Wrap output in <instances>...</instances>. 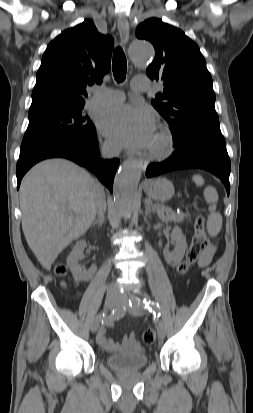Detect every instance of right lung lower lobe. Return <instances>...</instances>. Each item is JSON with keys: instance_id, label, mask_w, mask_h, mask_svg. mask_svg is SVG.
<instances>
[{"instance_id": "98d812e1", "label": "right lung lower lobe", "mask_w": 253, "mask_h": 413, "mask_svg": "<svg viewBox=\"0 0 253 413\" xmlns=\"http://www.w3.org/2000/svg\"><path fill=\"white\" fill-rule=\"evenodd\" d=\"M99 144L96 131L84 137L51 140L20 150L17 163V188L19 189L24 174L37 162L54 157L66 158L94 172L110 191L119 163L118 159H99Z\"/></svg>"}]
</instances>
